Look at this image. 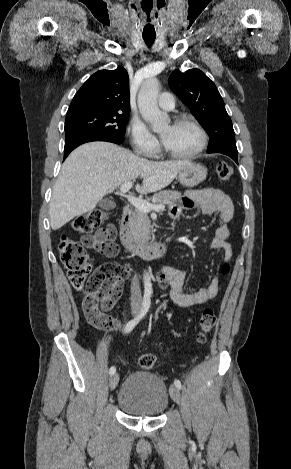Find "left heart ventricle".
<instances>
[{
  "mask_svg": "<svg viewBox=\"0 0 291 469\" xmlns=\"http://www.w3.org/2000/svg\"><path fill=\"white\" fill-rule=\"evenodd\" d=\"M165 146L176 153H188L196 148L199 135L190 124L166 125L161 130Z\"/></svg>",
  "mask_w": 291,
  "mask_h": 469,
  "instance_id": "b2bd125f",
  "label": "left heart ventricle"
}]
</instances>
